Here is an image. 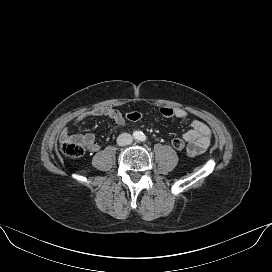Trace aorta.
Listing matches in <instances>:
<instances>
[{
    "mask_svg": "<svg viewBox=\"0 0 272 272\" xmlns=\"http://www.w3.org/2000/svg\"><path fill=\"white\" fill-rule=\"evenodd\" d=\"M137 133H138V132H135V133H134V135H135L136 138H137Z\"/></svg>",
    "mask_w": 272,
    "mask_h": 272,
    "instance_id": "1",
    "label": "aorta"
}]
</instances>
